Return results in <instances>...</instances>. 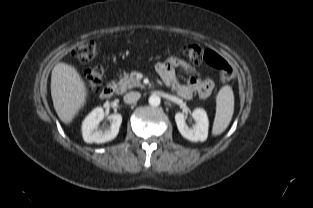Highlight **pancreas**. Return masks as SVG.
Returning a JSON list of instances; mask_svg holds the SVG:
<instances>
[{"label":"pancreas","instance_id":"obj_1","mask_svg":"<svg viewBox=\"0 0 313 208\" xmlns=\"http://www.w3.org/2000/svg\"><path fill=\"white\" fill-rule=\"evenodd\" d=\"M135 73L132 72L131 74H124V77L120 79L118 82V89L117 93L122 94L127 89H132L134 87H140L141 83L139 80L136 79Z\"/></svg>","mask_w":313,"mask_h":208}]
</instances>
